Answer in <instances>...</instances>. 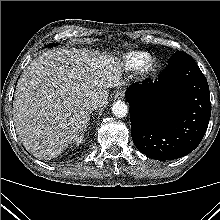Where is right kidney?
Returning <instances> with one entry per match:
<instances>
[{
	"mask_svg": "<svg viewBox=\"0 0 220 220\" xmlns=\"http://www.w3.org/2000/svg\"><path fill=\"white\" fill-rule=\"evenodd\" d=\"M83 138H84L83 134L82 135H78V136L75 137L73 142L75 144L79 145L83 141Z\"/></svg>",
	"mask_w": 220,
	"mask_h": 220,
	"instance_id": "right-kidney-1",
	"label": "right kidney"
}]
</instances>
